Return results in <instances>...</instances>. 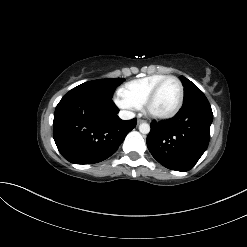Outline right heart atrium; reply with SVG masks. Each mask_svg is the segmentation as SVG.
Here are the masks:
<instances>
[{
    "label": "right heart atrium",
    "mask_w": 247,
    "mask_h": 247,
    "mask_svg": "<svg viewBox=\"0 0 247 247\" xmlns=\"http://www.w3.org/2000/svg\"><path fill=\"white\" fill-rule=\"evenodd\" d=\"M115 103L119 108L124 109L126 111H134L139 108L126 97H124L121 93H119L116 96Z\"/></svg>",
    "instance_id": "1"
}]
</instances>
